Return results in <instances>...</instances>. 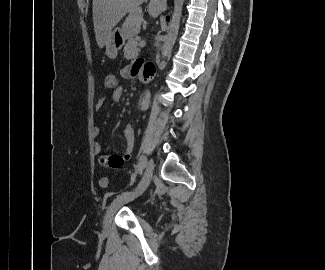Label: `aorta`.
Here are the masks:
<instances>
[{
	"label": "aorta",
	"instance_id": "762f6f07",
	"mask_svg": "<svg viewBox=\"0 0 325 270\" xmlns=\"http://www.w3.org/2000/svg\"><path fill=\"white\" fill-rule=\"evenodd\" d=\"M184 0H174V8L172 13V18L169 24V31L166 37V40L162 47V56L163 58L167 57L169 51L172 49L180 27V21L182 17ZM151 93L149 90H146L141 101V109L143 111L149 108Z\"/></svg>",
	"mask_w": 325,
	"mask_h": 270
}]
</instances>
